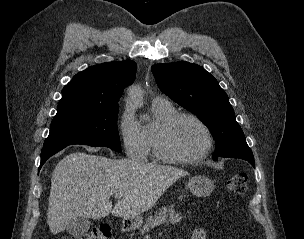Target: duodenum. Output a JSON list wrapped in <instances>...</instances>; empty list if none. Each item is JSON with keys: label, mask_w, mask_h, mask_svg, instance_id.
<instances>
[{"label": "duodenum", "mask_w": 304, "mask_h": 239, "mask_svg": "<svg viewBox=\"0 0 304 239\" xmlns=\"http://www.w3.org/2000/svg\"><path fill=\"white\" fill-rule=\"evenodd\" d=\"M135 225V221L133 219L125 220L123 223V230L130 231Z\"/></svg>", "instance_id": "obj_1"}]
</instances>
